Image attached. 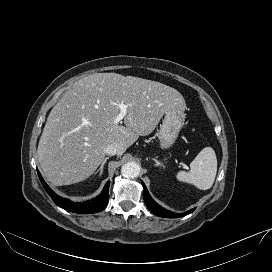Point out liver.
<instances>
[{"label":"liver","mask_w":272,"mask_h":272,"mask_svg":"<svg viewBox=\"0 0 272 272\" xmlns=\"http://www.w3.org/2000/svg\"><path fill=\"white\" fill-rule=\"evenodd\" d=\"M116 103L128 105L124 125L114 124ZM185 110L183 96L160 82L116 73H95L76 81L52 108L37 154L47 180L70 185L91 176L114 144L118 155L151 134L164 113Z\"/></svg>","instance_id":"6515ba94"}]
</instances>
